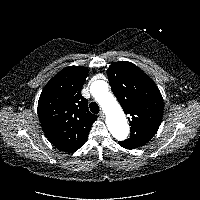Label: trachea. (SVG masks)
Listing matches in <instances>:
<instances>
[{
  "label": "trachea",
  "instance_id": "3493384b",
  "mask_svg": "<svg viewBox=\"0 0 200 200\" xmlns=\"http://www.w3.org/2000/svg\"><path fill=\"white\" fill-rule=\"evenodd\" d=\"M89 107L91 112L94 114H98L100 111V108L96 102H91Z\"/></svg>",
  "mask_w": 200,
  "mask_h": 200
}]
</instances>
